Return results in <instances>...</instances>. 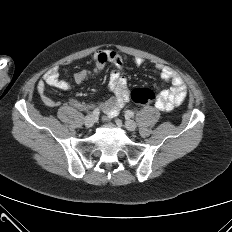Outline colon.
Instances as JSON below:
<instances>
[{"label":"colon","mask_w":232,"mask_h":232,"mask_svg":"<svg viewBox=\"0 0 232 232\" xmlns=\"http://www.w3.org/2000/svg\"><path fill=\"white\" fill-rule=\"evenodd\" d=\"M130 97L134 103L140 105H146V104H150L154 100L155 93L150 88L139 87L131 91Z\"/></svg>","instance_id":"1"}]
</instances>
